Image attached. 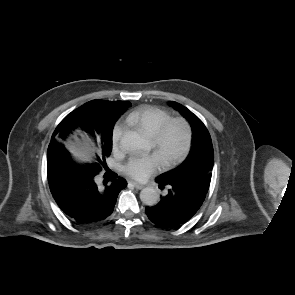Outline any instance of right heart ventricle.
I'll return each instance as SVG.
<instances>
[{
    "mask_svg": "<svg viewBox=\"0 0 295 295\" xmlns=\"http://www.w3.org/2000/svg\"><path fill=\"white\" fill-rule=\"evenodd\" d=\"M171 118V115L164 109L146 106L131 112L127 117V122L152 137Z\"/></svg>",
    "mask_w": 295,
    "mask_h": 295,
    "instance_id": "obj_1",
    "label": "right heart ventricle"
}]
</instances>
